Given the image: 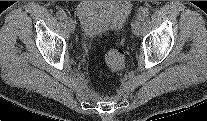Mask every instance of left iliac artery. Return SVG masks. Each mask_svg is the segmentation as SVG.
Here are the masks:
<instances>
[{"instance_id": "left-iliac-artery-1", "label": "left iliac artery", "mask_w": 207, "mask_h": 121, "mask_svg": "<svg viewBox=\"0 0 207 121\" xmlns=\"http://www.w3.org/2000/svg\"><path fill=\"white\" fill-rule=\"evenodd\" d=\"M150 14V9L149 8H143L140 10L138 17L145 19L148 17Z\"/></svg>"}]
</instances>
